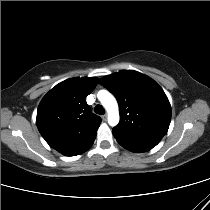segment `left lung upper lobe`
Instances as JSON below:
<instances>
[{
  "instance_id": "5c2ea615",
  "label": "left lung upper lobe",
  "mask_w": 210,
  "mask_h": 210,
  "mask_svg": "<svg viewBox=\"0 0 210 210\" xmlns=\"http://www.w3.org/2000/svg\"><path fill=\"white\" fill-rule=\"evenodd\" d=\"M99 83L119 103L120 122L113 128L119 144L139 150L155 147L167 133L171 120V106L161 87L133 70L107 75Z\"/></svg>"
}]
</instances>
